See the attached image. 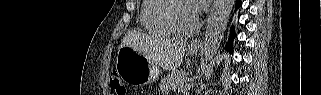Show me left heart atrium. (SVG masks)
<instances>
[{
	"label": "left heart atrium",
	"instance_id": "1",
	"mask_svg": "<svg viewBox=\"0 0 321 95\" xmlns=\"http://www.w3.org/2000/svg\"><path fill=\"white\" fill-rule=\"evenodd\" d=\"M193 5L191 9L193 10L194 14L197 15L199 12H201L207 5L208 1L205 0H193Z\"/></svg>",
	"mask_w": 321,
	"mask_h": 95
}]
</instances>
